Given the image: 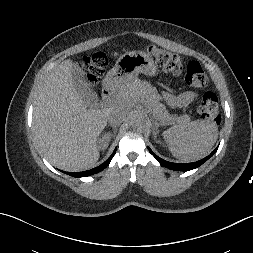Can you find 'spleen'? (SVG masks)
<instances>
[{"label":"spleen","mask_w":253,"mask_h":253,"mask_svg":"<svg viewBox=\"0 0 253 253\" xmlns=\"http://www.w3.org/2000/svg\"><path fill=\"white\" fill-rule=\"evenodd\" d=\"M172 155L183 162L195 161L209 153L218 138V127L209 120L175 125L163 132Z\"/></svg>","instance_id":"spleen-1"}]
</instances>
